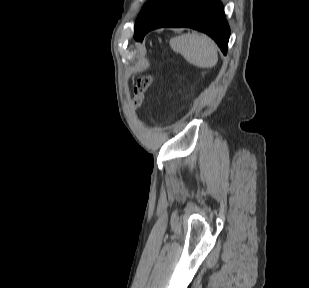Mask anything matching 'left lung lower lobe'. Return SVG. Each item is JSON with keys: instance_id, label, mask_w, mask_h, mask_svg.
Segmentation results:
<instances>
[{"instance_id": "1", "label": "left lung lower lobe", "mask_w": 309, "mask_h": 288, "mask_svg": "<svg viewBox=\"0 0 309 288\" xmlns=\"http://www.w3.org/2000/svg\"><path fill=\"white\" fill-rule=\"evenodd\" d=\"M189 27L208 34L227 53L230 29L219 0H159L134 34L137 41L155 28Z\"/></svg>"}]
</instances>
